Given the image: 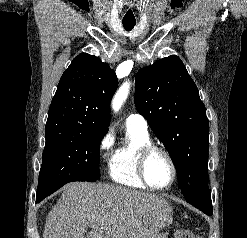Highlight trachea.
<instances>
[{
    "instance_id": "1",
    "label": "trachea",
    "mask_w": 247,
    "mask_h": 238,
    "mask_svg": "<svg viewBox=\"0 0 247 238\" xmlns=\"http://www.w3.org/2000/svg\"><path fill=\"white\" fill-rule=\"evenodd\" d=\"M122 23H123L125 30L128 32L131 31L136 24L135 21H122Z\"/></svg>"
}]
</instances>
